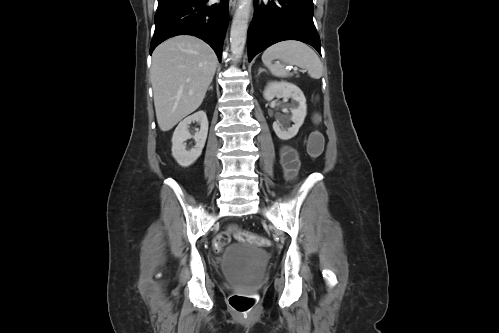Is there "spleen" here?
I'll return each instance as SVG.
<instances>
[{
	"mask_svg": "<svg viewBox=\"0 0 499 333\" xmlns=\"http://www.w3.org/2000/svg\"><path fill=\"white\" fill-rule=\"evenodd\" d=\"M274 60H278L273 63ZM262 61L269 71L277 77H288L290 73L285 65H297L308 71L313 79L323 74V65L317 54L306 44L287 40L272 45L262 55Z\"/></svg>",
	"mask_w": 499,
	"mask_h": 333,
	"instance_id": "spleen-1",
	"label": "spleen"
}]
</instances>
